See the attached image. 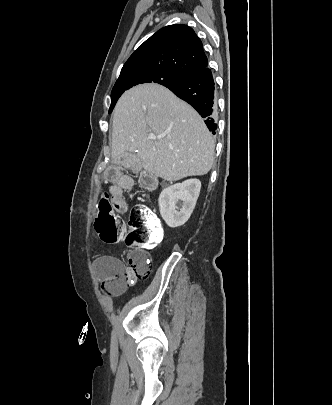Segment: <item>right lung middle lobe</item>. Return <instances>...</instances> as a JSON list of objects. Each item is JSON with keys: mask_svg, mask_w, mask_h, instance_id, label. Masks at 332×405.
Returning a JSON list of instances; mask_svg holds the SVG:
<instances>
[{"mask_svg": "<svg viewBox=\"0 0 332 405\" xmlns=\"http://www.w3.org/2000/svg\"><path fill=\"white\" fill-rule=\"evenodd\" d=\"M184 77L178 74L165 73L154 70L132 71L120 75L111 92V106L109 113L112 112L117 100L125 90L142 83H158L165 87L177 83Z\"/></svg>", "mask_w": 332, "mask_h": 405, "instance_id": "obj_1", "label": "right lung middle lobe"}]
</instances>
